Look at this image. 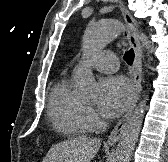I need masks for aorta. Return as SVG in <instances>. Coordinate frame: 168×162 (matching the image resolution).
Instances as JSON below:
<instances>
[{
	"label": "aorta",
	"instance_id": "1",
	"mask_svg": "<svg viewBox=\"0 0 168 162\" xmlns=\"http://www.w3.org/2000/svg\"><path fill=\"white\" fill-rule=\"evenodd\" d=\"M122 31L120 21L110 19L102 22L89 23L84 38L83 52L90 56L101 51L108 43L113 41ZM141 42L149 51H152L151 42L148 37L141 33ZM73 82L76 95L82 100H94L98 95V84L92 74V71L87 66L79 67L73 74ZM148 97L139 103L130 117L126 128L121 136V139L116 148L113 162H130L141 130L146 101Z\"/></svg>",
	"mask_w": 168,
	"mask_h": 162
}]
</instances>
